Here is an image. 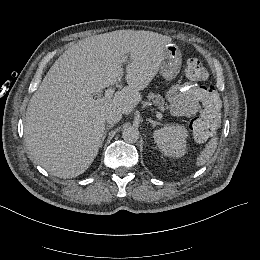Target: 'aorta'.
Wrapping results in <instances>:
<instances>
[{"mask_svg":"<svg viewBox=\"0 0 260 260\" xmlns=\"http://www.w3.org/2000/svg\"><path fill=\"white\" fill-rule=\"evenodd\" d=\"M122 138L128 143H135L139 139V130L134 126H125L122 131Z\"/></svg>","mask_w":260,"mask_h":260,"instance_id":"obj_1","label":"aorta"}]
</instances>
